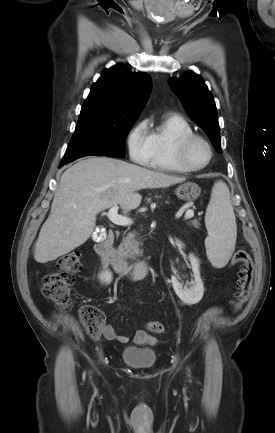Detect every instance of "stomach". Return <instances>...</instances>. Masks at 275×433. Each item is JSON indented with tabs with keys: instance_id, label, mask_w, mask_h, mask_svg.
<instances>
[{
	"instance_id": "0dacf381",
	"label": "stomach",
	"mask_w": 275,
	"mask_h": 433,
	"mask_svg": "<svg viewBox=\"0 0 275 433\" xmlns=\"http://www.w3.org/2000/svg\"><path fill=\"white\" fill-rule=\"evenodd\" d=\"M175 193L177 197L184 201H194L196 200L200 194V187L193 182H186L181 184L176 190Z\"/></svg>"
}]
</instances>
